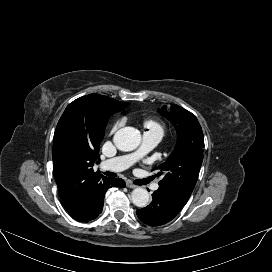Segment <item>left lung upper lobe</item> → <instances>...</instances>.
<instances>
[{
	"mask_svg": "<svg viewBox=\"0 0 272 272\" xmlns=\"http://www.w3.org/2000/svg\"><path fill=\"white\" fill-rule=\"evenodd\" d=\"M158 112L175 126L178 141L168 160L153 170L163 176L159 189L186 204L203 161V132L195 115L178 105L173 104L169 111L163 106Z\"/></svg>",
	"mask_w": 272,
	"mask_h": 272,
	"instance_id": "left-lung-upper-lobe-1",
	"label": "left lung upper lobe"
}]
</instances>
